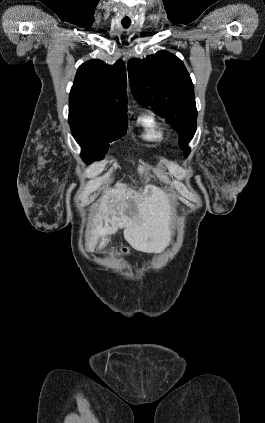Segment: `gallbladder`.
Listing matches in <instances>:
<instances>
[{
  "mask_svg": "<svg viewBox=\"0 0 265 423\" xmlns=\"http://www.w3.org/2000/svg\"><path fill=\"white\" fill-rule=\"evenodd\" d=\"M108 242H109V239L108 238H104V239H102V242H101L100 246L101 247H104V246H106L108 244Z\"/></svg>",
  "mask_w": 265,
  "mask_h": 423,
  "instance_id": "obj_1",
  "label": "gallbladder"
}]
</instances>
